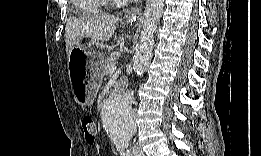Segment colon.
<instances>
[{"label":"colon","instance_id":"colon-1","mask_svg":"<svg viewBox=\"0 0 261 156\" xmlns=\"http://www.w3.org/2000/svg\"><path fill=\"white\" fill-rule=\"evenodd\" d=\"M80 123L86 142L89 145H92L95 142L97 135L94 119L89 115H84L82 116Z\"/></svg>","mask_w":261,"mask_h":156}]
</instances>
